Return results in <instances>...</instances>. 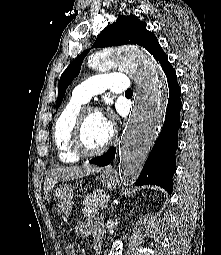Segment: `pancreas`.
I'll return each instance as SVG.
<instances>
[{
    "label": "pancreas",
    "mask_w": 221,
    "mask_h": 255,
    "mask_svg": "<svg viewBox=\"0 0 221 255\" xmlns=\"http://www.w3.org/2000/svg\"><path fill=\"white\" fill-rule=\"evenodd\" d=\"M110 198V195L103 190H95L87 194L83 199V214L84 216L89 217L90 215L96 213L101 204L104 203L107 199Z\"/></svg>",
    "instance_id": "1"
}]
</instances>
